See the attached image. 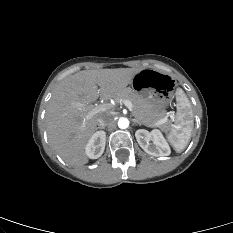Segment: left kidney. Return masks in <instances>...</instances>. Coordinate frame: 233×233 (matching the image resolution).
Here are the masks:
<instances>
[{"label":"left kidney","instance_id":"1","mask_svg":"<svg viewBox=\"0 0 233 233\" xmlns=\"http://www.w3.org/2000/svg\"><path fill=\"white\" fill-rule=\"evenodd\" d=\"M135 136L140 147L149 155L156 157L170 155V147L160 130L154 129L149 132L139 129L135 132Z\"/></svg>","mask_w":233,"mask_h":233}]
</instances>
